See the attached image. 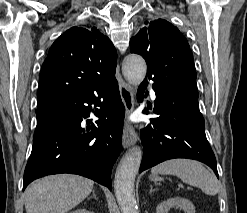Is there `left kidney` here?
Returning <instances> with one entry per match:
<instances>
[{
  "mask_svg": "<svg viewBox=\"0 0 247 213\" xmlns=\"http://www.w3.org/2000/svg\"><path fill=\"white\" fill-rule=\"evenodd\" d=\"M171 208H181L185 213H195L194 205L185 198H171L161 202L156 208V213H169Z\"/></svg>",
  "mask_w": 247,
  "mask_h": 213,
  "instance_id": "5707ae66",
  "label": "left kidney"
}]
</instances>
